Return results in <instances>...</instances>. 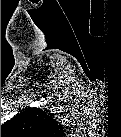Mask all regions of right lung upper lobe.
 <instances>
[{"label":"right lung upper lobe","mask_w":121,"mask_h":137,"mask_svg":"<svg viewBox=\"0 0 121 137\" xmlns=\"http://www.w3.org/2000/svg\"><path fill=\"white\" fill-rule=\"evenodd\" d=\"M61 125L39 108H28L14 116L1 126V132L11 135H43L54 134L59 131Z\"/></svg>","instance_id":"right-lung-upper-lobe-1"}]
</instances>
